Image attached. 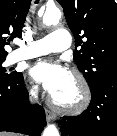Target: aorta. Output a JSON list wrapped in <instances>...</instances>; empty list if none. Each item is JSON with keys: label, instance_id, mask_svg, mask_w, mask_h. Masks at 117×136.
<instances>
[{"label": "aorta", "instance_id": "1", "mask_svg": "<svg viewBox=\"0 0 117 136\" xmlns=\"http://www.w3.org/2000/svg\"><path fill=\"white\" fill-rule=\"evenodd\" d=\"M60 18L61 12L58 8H47L43 15V23L46 25L56 24ZM42 136H60V134L56 126L51 124L44 129Z\"/></svg>", "mask_w": 117, "mask_h": 136}]
</instances>
